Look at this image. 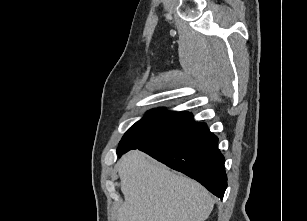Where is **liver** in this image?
Wrapping results in <instances>:
<instances>
[{
	"label": "liver",
	"mask_w": 307,
	"mask_h": 221,
	"mask_svg": "<svg viewBox=\"0 0 307 221\" xmlns=\"http://www.w3.org/2000/svg\"><path fill=\"white\" fill-rule=\"evenodd\" d=\"M124 203L118 221H205L214 207L198 182L171 172L134 150L117 164Z\"/></svg>",
	"instance_id": "obj_1"
}]
</instances>
